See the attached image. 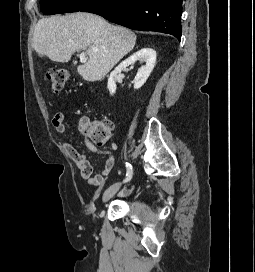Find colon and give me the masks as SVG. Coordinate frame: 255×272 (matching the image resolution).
<instances>
[{"instance_id":"5ec220e1","label":"colon","mask_w":255,"mask_h":272,"mask_svg":"<svg viewBox=\"0 0 255 272\" xmlns=\"http://www.w3.org/2000/svg\"><path fill=\"white\" fill-rule=\"evenodd\" d=\"M45 77L50 82L52 91L58 94L64 89L70 74L66 69L51 68L46 71ZM83 131L95 144L105 146L112 137L114 123L110 120L94 121L86 124Z\"/></svg>"}]
</instances>
